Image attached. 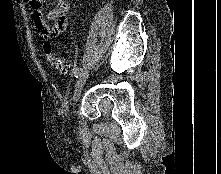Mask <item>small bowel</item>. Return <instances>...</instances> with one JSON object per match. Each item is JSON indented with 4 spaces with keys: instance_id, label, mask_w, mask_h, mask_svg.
Instances as JSON below:
<instances>
[{
    "instance_id": "1",
    "label": "small bowel",
    "mask_w": 221,
    "mask_h": 174,
    "mask_svg": "<svg viewBox=\"0 0 221 174\" xmlns=\"http://www.w3.org/2000/svg\"><path fill=\"white\" fill-rule=\"evenodd\" d=\"M47 0H28L32 10L35 28L43 37L54 38L66 31L70 4L67 0H55V7L46 15L42 13V5Z\"/></svg>"
}]
</instances>
